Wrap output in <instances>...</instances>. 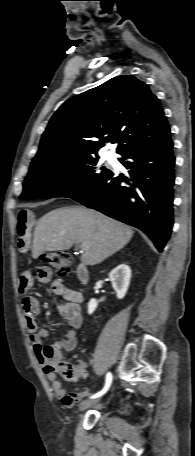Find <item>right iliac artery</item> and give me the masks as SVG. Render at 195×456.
I'll use <instances>...</instances> for the list:
<instances>
[{"instance_id": "82829eb1", "label": "right iliac artery", "mask_w": 195, "mask_h": 456, "mask_svg": "<svg viewBox=\"0 0 195 456\" xmlns=\"http://www.w3.org/2000/svg\"><path fill=\"white\" fill-rule=\"evenodd\" d=\"M111 383H112V374L111 373H107V375H106V383H105L104 388L100 392H98V393L94 394L93 396H91V398H97V397H100L101 395H103L104 393H106V391L109 389Z\"/></svg>"}]
</instances>
